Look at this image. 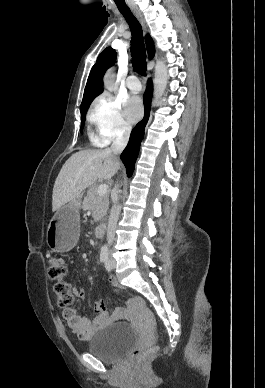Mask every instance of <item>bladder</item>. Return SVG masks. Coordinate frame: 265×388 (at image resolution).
<instances>
[{"label":"bladder","instance_id":"bladder-1","mask_svg":"<svg viewBox=\"0 0 265 388\" xmlns=\"http://www.w3.org/2000/svg\"><path fill=\"white\" fill-rule=\"evenodd\" d=\"M137 332L129 323H117L102 329L90 342L88 350L95 356L113 361L134 345Z\"/></svg>","mask_w":265,"mask_h":388}]
</instances>
